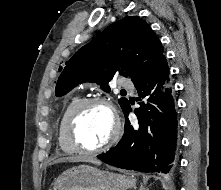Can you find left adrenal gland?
Here are the masks:
<instances>
[{
    "instance_id": "obj_1",
    "label": "left adrenal gland",
    "mask_w": 221,
    "mask_h": 190,
    "mask_svg": "<svg viewBox=\"0 0 221 190\" xmlns=\"http://www.w3.org/2000/svg\"><path fill=\"white\" fill-rule=\"evenodd\" d=\"M139 190H145V186L141 185Z\"/></svg>"
}]
</instances>
